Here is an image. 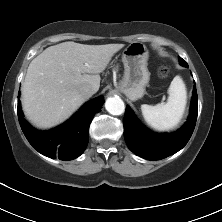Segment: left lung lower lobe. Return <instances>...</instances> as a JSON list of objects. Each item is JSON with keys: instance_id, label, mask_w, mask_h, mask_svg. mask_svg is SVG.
Segmentation results:
<instances>
[{"instance_id": "obj_1", "label": "left lung lower lobe", "mask_w": 222, "mask_h": 222, "mask_svg": "<svg viewBox=\"0 0 222 222\" xmlns=\"http://www.w3.org/2000/svg\"><path fill=\"white\" fill-rule=\"evenodd\" d=\"M198 114V97L196 85L193 88L190 114L187 122L178 131L154 133L144 128L129 106L124 117V138L128 148L136 155L147 160H160L182 149L189 141Z\"/></svg>"}]
</instances>
